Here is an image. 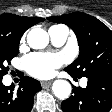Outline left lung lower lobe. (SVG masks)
<instances>
[{"label":"left lung lower lobe","mask_w":112,"mask_h":112,"mask_svg":"<svg viewBox=\"0 0 112 112\" xmlns=\"http://www.w3.org/2000/svg\"><path fill=\"white\" fill-rule=\"evenodd\" d=\"M87 78L86 88L73 87L74 95L62 102L63 112H109L111 110L112 74H97Z\"/></svg>","instance_id":"left-lung-lower-lobe-1"}]
</instances>
